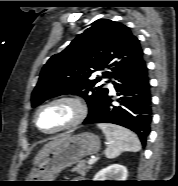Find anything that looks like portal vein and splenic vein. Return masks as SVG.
Returning <instances> with one entry per match:
<instances>
[{"label": "portal vein and splenic vein", "mask_w": 178, "mask_h": 186, "mask_svg": "<svg viewBox=\"0 0 178 186\" xmlns=\"http://www.w3.org/2000/svg\"><path fill=\"white\" fill-rule=\"evenodd\" d=\"M96 161V157H91L89 160H88V164L91 165V164H94Z\"/></svg>", "instance_id": "18ae733b"}]
</instances>
